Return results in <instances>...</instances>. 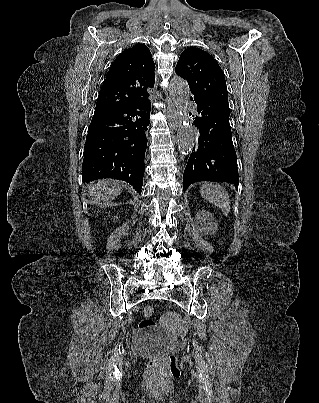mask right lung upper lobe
<instances>
[{"mask_svg": "<svg viewBox=\"0 0 319 403\" xmlns=\"http://www.w3.org/2000/svg\"><path fill=\"white\" fill-rule=\"evenodd\" d=\"M155 64L149 48L137 44L113 62L100 90L95 112L102 114L148 100L155 83Z\"/></svg>", "mask_w": 319, "mask_h": 403, "instance_id": "cb5924a9", "label": "right lung upper lobe"}]
</instances>
